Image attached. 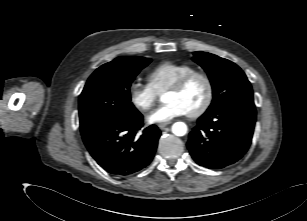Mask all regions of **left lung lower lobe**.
<instances>
[{"label": "left lung lower lobe", "mask_w": 307, "mask_h": 221, "mask_svg": "<svg viewBox=\"0 0 307 221\" xmlns=\"http://www.w3.org/2000/svg\"><path fill=\"white\" fill-rule=\"evenodd\" d=\"M256 121L254 101L240 100L206 111L189 134L187 147L196 163L209 169L227 167L247 152Z\"/></svg>", "instance_id": "left-lung-lower-lobe-1"}]
</instances>
